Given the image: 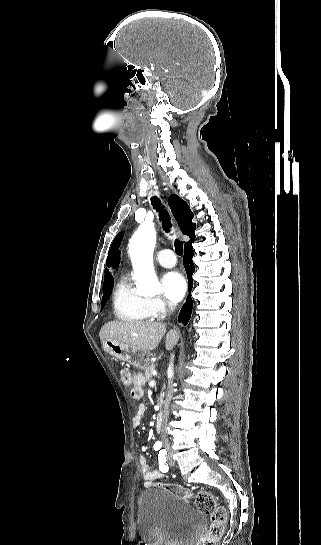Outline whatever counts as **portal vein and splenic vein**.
<instances>
[{
  "label": "portal vein and splenic vein",
  "mask_w": 321,
  "mask_h": 545,
  "mask_svg": "<svg viewBox=\"0 0 321 545\" xmlns=\"http://www.w3.org/2000/svg\"><path fill=\"white\" fill-rule=\"evenodd\" d=\"M153 373H151V376L157 375L155 368H152ZM155 383H150V387H154Z\"/></svg>",
  "instance_id": "18ae733b"
}]
</instances>
